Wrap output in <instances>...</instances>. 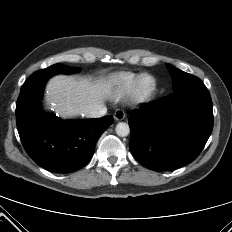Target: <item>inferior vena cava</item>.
<instances>
[{
	"mask_svg": "<svg viewBox=\"0 0 232 232\" xmlns=\"http://www.w3.org/2000/svg\"><path fill=\"white\" fill-rule=\"evenodd\" d=\"M107 113V108L105 105H98L97 107L87 110L85 116L88 118H99L104 116Z\"/></svg>",
	"mask_w": 232,
	"mask_h": 232,
	"instance_id": "602c4592",
	"label": "inferior vena cava"
}]
</instances>
